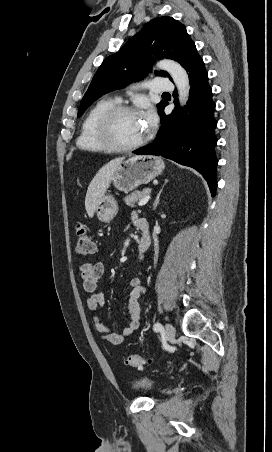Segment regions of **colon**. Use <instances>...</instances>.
I'll return each mask as SVG.
<instances>
[{
	"mask_svg": "<svg viewBox=\"0 0 272 452\" xmlns=\"http://www.w3.org/2000/svg\"><path fill=\"white\" fill-rule=\"evenodd\" d=\"M77 242L75 252L79 257H89L95 252L94 241L84 225H78L76 229ZM126 363L136 368H142L149 363V360L138 354H129Z\"/></svg>",
	"mask_w": 272,
	"mask_h": 452,
	"instance_id": "1",
	"label": "colon"
}]
</instances>
